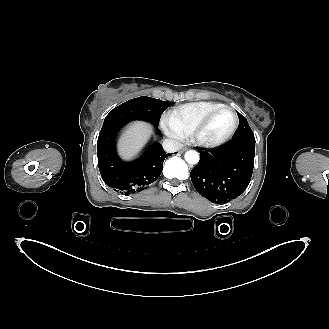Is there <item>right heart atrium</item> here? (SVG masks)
Segmentation results:
<instances>
[{
    "mask_svg": "<svg viewBox=\"0 0 329 329\" xmlns=\"http://www.w3.org/2000/svg\"><path fill=\"white\" fill-rule=\"evenodd\" d=\"M163 128L166 134L174 140H180L184 138V135L172 125V123L168 120L167 117L163 119Z\"/></svg>",
    "mask_w": 329,
    "mask_h": 329,
    "instance_id": "d8ad5b80",
    "label": "right heart atrium"
}]
</instances>
